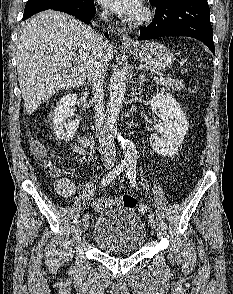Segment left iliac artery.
I'll return each mask as SVG.
<instances>
[{"instance_id":"obj_1","label":"left iliac artery","mask_w":233,"mask_h":294,"mask_svg":"<svg viewBox=\"0 0 233 294\" xmlns=\"http://www.w3.org/2000/svg\"><path fill=\"white\" fill-rule=\"evenodd\" d=\"M127 177L130 180L132 187H136V164L129 163L127 166ZM149 218H154V214L151 212L149 213Z\"/></svg>"}]
</instances>
